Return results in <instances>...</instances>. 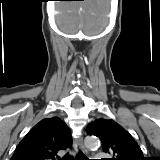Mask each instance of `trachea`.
Listing matches in <instances>:
<instances>
[{"instance_id":"trachea-1","label":"trachea","mask_w":160,"mask_h":160,"mask_svg":"<svg viewBox=\"0 0 160 160\" xmlns=\"http://www.w3.org/2000/svg\"><path fill=\"white\" fill-rule=\"evenodd\" d=\"M63 160H87V157L79 152V154L76 156V159H74L73 157H70L68 154L63 158Z\"/></svg>"}]
</instances>
